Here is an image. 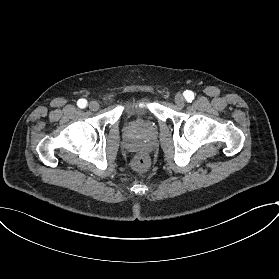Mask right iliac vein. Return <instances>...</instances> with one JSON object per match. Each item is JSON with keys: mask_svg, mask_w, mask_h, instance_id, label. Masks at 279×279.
<instances>
[{"mask_svg": "<svg viewBox=\"0 0 279 279\" xmlns=\"http://www.w3.org/2000/svg\"><path fill=\"white\" fill-rule=\"evenodd\" d=\"M88 107H89L90 110L96 111V110L99 109V103L95 100L90 101L89 104H88Z\"/></svg>", "mask_w": 279, "mask_h": 279, "instance_id": "right-iliac-vein-1", "label": "right iliac vein"}]
</instances>
